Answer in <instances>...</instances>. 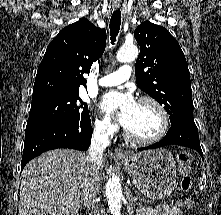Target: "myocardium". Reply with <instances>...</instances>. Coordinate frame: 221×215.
<instances>
[{
  "label": "myocardium",
  "instance_id": "f54148a6",
  "mask_svg": "<svg viewBox=\"0 0 221 215\" xmlns=\"http://www.w3.org/2000/svg\"><path fill=\"white\" fill-rule=\"evenodd\" d=\"M138 103H149L152 106L155 107V109L157 110L159 117H160V129L158 131L157 134H155L152 137H148V138H142V137H138L133 135L126 127L124 129V136L125 138L130 141L133 142L135 144H141V145H150V144H154L159 142L160 140H162L168 130H169V125H170V120H169V115L167 113V110L165 109V107L155 98L151 97V96H142L138 99Z\"/></svg>",
  "mask_w": 221,
  "mask_h": 215
}]
</instances>
